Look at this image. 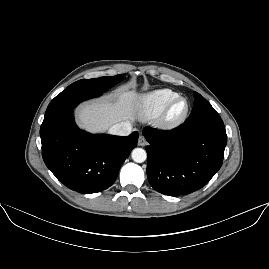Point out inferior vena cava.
<instances>
[{"mask_svg": "<svg viewBox=\"0 0 269 269\" xmlns=\"http://www.w3.org/2000/svg\"><path fill=\"white\" fill-rule=\"evenodd\" d=\"M132 126L129 122H121L110 127L109 133L119 136H127L131 133Z\"/></svg>", "mask_w": 269, "mask_h": 269, "instance_id": "602c4592", "label": "inferior vena cava"}]
</instances>
